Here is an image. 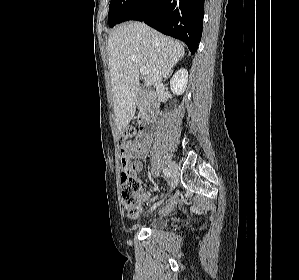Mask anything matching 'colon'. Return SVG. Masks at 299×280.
I'll use <instances>...</instances> for the list:
<instances>
[{"label":"colon","instance_id":"5ec220e1","mask_svg":"<svg viewBox=\"0 0 299 280\" xmlns=\"http://www.w3.org/2000/svg\"><path fill=\"white\" fill-rule=\"evenodd\" d=\"M138 138L139 132L135 126H127L120 131L122 146L134 142ZM121 186L123 207L130 218L136 219L141 213L142 184L134 174L133 165L129 163L125 155H122L121 160Z\"/></svg>","mask_w":299,"mask_h":280}]
</instances>
